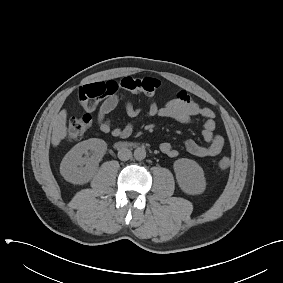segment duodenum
Instances as JSON below:
<instances>
[{"label": "duodenum", "instance_id": "410a0bca", "mask_svg": "<svg viewBox=\"0 0 283 283\" xmlns=\"http://www.w3.org/2000/svg\"><path fill=\"white\" fill-rule=\"evenodd\" d=\"M132 144L129 142H118L116 143V147L117 148H126V147H130Z\"/></svg>", "mask_w": 283, "mask_h": 283}]
</instances>
